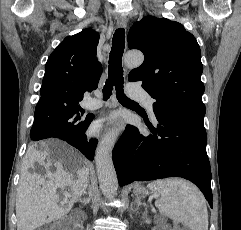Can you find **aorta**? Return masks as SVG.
<instances>
[{"label":"aorta","mask_w":241,"mask_h":230,"mask_svg":"<svg viewBox=\"0 0 241 230\" xmlns=\"http://www.w3.org/2000/svg\"><path fill=\"white\" fill-rule=\"evenodd\" d=\"M144 61L141 52H128L124 57L129 68L140 66ZM116 141L115 133H108L101 140L96 151V169L101 191L106 198H113L118 189L117 174L113 165L112 150Z\"/></svg>","instance_id":"762f6f07"}]
</instances>
